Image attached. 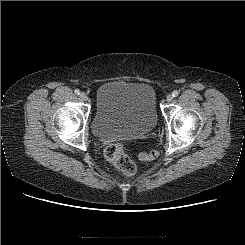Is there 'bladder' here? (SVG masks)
<instances>
[{
	"mask_svg": "<svg viewBox=\"0 0 245 245\" xmlns=\"http://www.w3.org/2000/svg\"><path fill=\"white\" fill-rule=\"evenodd\" d=\"M156 95L145 83L108 81L97 90L93 131L99 138H140L157 125Z\"/></svg>",
	"mask_w": 245,
	"mask_h": 245,
	"instance_id": "bladder-1",
	"label": "bladder"
}]
</instances>
